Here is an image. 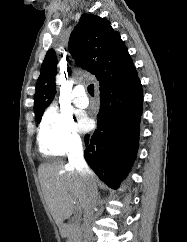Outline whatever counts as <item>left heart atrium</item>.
<instances>
[{"instance_id": "1", "label": "left heart atrium", "mask_w": 187, "mask_h": 242, "mask_svg": "<svg viewBox=\"0 0 187 242\" xmlns=\"http://www.w3.org/2000/svg\"><path fill=\"white\" fill-rule=\"evenodd\" d=\"M78 124L82 131H87L91 128V120L84 114L79 116Z\"/></svg>"}]
</instances>
